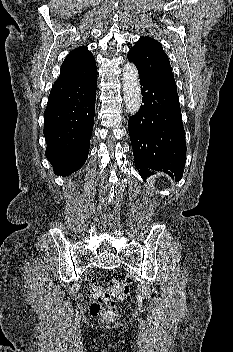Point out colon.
<instances>
[{
  "instance_id": "colon-1",
  "label": "colon",
  "mask_w": 233,
  "mask_h": 352,
  "mask_svg": "<svg viewBox=\"0 0 233 352\" xmlns=\"http://www.w3.org/2000/svg\"><path fill=\"white\" fill-rule=\"evenodd\" d=\"M131 289L128 283L120 279H114L107 288L92 281L88 285V294L92 300L90 313L93 316H102L106 320L116 317V309L113 303L125 299L130 295Z\"/></svg>"
}]
</instances>
